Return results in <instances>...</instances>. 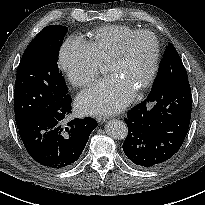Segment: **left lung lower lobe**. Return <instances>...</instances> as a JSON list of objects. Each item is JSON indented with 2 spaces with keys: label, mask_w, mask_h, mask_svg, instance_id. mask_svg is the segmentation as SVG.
Returning <instances> with one entry per match:
<instances>
[{
  "label": "left lung lower lobe",
  "mask_w": 205,
  "mask_h": 205,
  "mask_svg": "<svg viewBox=\"0 0 205 205\" xmlns=\"http://www.w3.org/2000/svg\"><path fill=\"white\" fill-rule=\"evenodd\" d=\"M192 109L188 78L151 90L124 120L128 135L123 150L132 164L153 168L178 152L187 135Z\"/></svg>",
  "instance_id": "obj_1"
}]
</instances>
